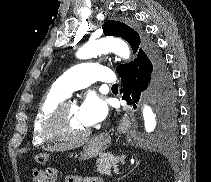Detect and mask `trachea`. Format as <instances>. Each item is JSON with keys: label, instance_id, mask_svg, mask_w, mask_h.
Returning <instances> with one entry per match:
<instances>
[{"label": "trachea", "instance_id": "3493384b", "mask_svg": "<svg viewBox=\"0 0 211 182\" xmlns=\"http://www.w3.org/2000/svg\"><path fill=\"white\" fill-rule=\"evenodd\" d=\"M112 88H117V89H118V84H114V85L112 86Z\"/></svg>", "mask_w": 211, "mask_h": 182}]
</instances>
